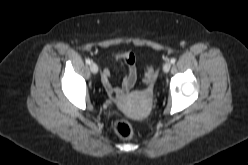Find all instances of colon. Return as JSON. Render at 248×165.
I'll return each mask as SVG.
<instances>
[{
	"instance_id": "5ec220e1",
	"label": "colon",
	"mask_w": 248,
	"mask_h": 165,
	"mask_svg": "<svg viewBox=\"0 0 248 165\" xmlns=\"http://www.w3.org/2000/svg\"><path fill=\"white\" fill-rule=\"evenodd\" d=\"M154 69L150 67L145 74V82L150 84L154 79ZM114 132L123 139H131L134 136V128L130 122L118 119L113 124Z\"/></svg>"
}]
</instances>
